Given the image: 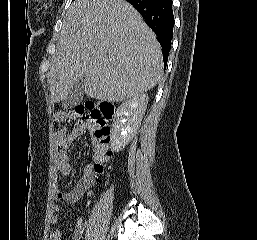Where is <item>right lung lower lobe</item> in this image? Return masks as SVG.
I'll return each instance as SVG.
<instances>
[{
  "instance_id": "1",
  "label": "right lung lower lobe",
  "mask_w": 257,
  "mask_h": 240,
  "mask_svg": "<svg viewBox=\"0 0 257 240\" xmlns=\"http://www.w3.org/2000/svg\"><path fill=\"white\" fill-rule=\"evenodd\" d=\"M142 15L147 25L158 36L166 67L173 34L172 0H126Z\"/></svg>"
}]
</instances>
